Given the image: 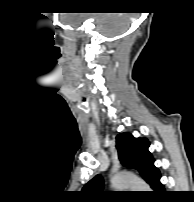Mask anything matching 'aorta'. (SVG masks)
Instances as JSON below:
<instances>
[{"label":"aorta","mask_w":194,"mask_h":202,"mask_svg":"<svg viewBox=\"0 0 194 202\" xmlns=\"http://www.w3.org/2000/svg\"><path fill=\"white\" fill-rule=\"evenodd\" d=\"M111 184L112 187L117 190L131 188L135 191H150V187L144 181L131 175H115L111 179Z\"/></svg>","instance_id":"obj_1"}]
</instances>
